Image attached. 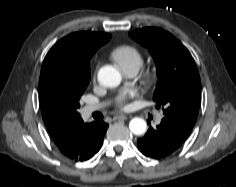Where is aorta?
Returning a JSON list of instances; mask_svg holds the SVG:
<instances>
[{"instance_id":"obj_1","label":"aorta","mask_w":236,"mask_h":187,"mask_svg":"<svg viewBox=\"0 0 236 187\" xmlns=\"http://www.w3.org/2000/svg\"><path fill=\"white\" fill-rule=\"evenodd\" d=\"M120 72L111 65L103 66L98 72V81L107 87H117L121 83ZM129 129L134 135H142L147 131L146 121L142 118H133L129 123Z\"/></svg>"}]
</instances>
